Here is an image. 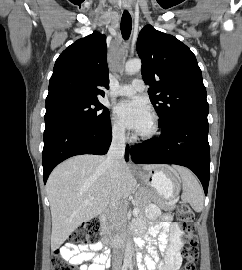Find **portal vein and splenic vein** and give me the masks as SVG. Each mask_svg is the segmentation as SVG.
Masks as SVG:
<instances>
[{
  "instance_id": "1",
  "label": "portal vein and splenic vein",
  "mask_w": 242,
  "mask_h": 270,
  "mask_svg": "<svg viewBox=\"0 0 242 270\" xmlns=\"http://www.w3.org/2000/svg\"><path fill=\"white\" fill-rule=\"evenodd\" d=\"M90 199L92 200L93 198H90ZM178 199H179V198H176V199L170 201L169 204H175V203L178 201ZM139 211H140V210L136 207V208H134L133 213H134V214H138Z\"/></svg>"
}]
</instances>
